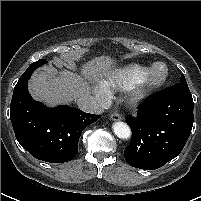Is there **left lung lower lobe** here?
I'll return each mask as SVG.
<instances>
[{
    "instance_id": "1",
    "label": "left lung lower lobe",
    "mask_w": 201,
    "mask_h": 201,
    "mask_svg": "<svg viewBox=\"0 0 201 201\" xmlns=\"http://www.w3.org/2000/svg\"><path fill=\"white\" fill-rule=\"evenodd\" d=\"M194 103L187 84L177 83L150 97L137 117H127L132 139L124 151L127 163L154 170L177 157L193 126Z\"/></svg>"
}]
</instances>
